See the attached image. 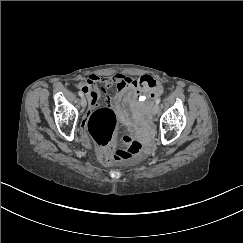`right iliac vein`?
<instances>
[{
    "label": "right iliac vein",
    "instance_id": "obj_1",
    "mask_svg": "<svg viewBox=\"0 0 243 243\" xmlns=\"http://www.w3.org/2000/svg\"><path fill=\"white\" fill-rule=\"evenodd\" d=\"M80 103H81L82 107H85L87 105V101H86V99L84 97L81 98V102Z\"/></svg>",
    "mask_w": 243,
    "mask_h": 243
}]
</instances>
